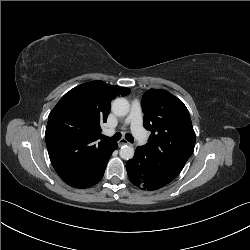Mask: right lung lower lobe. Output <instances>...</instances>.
I'll use <instances>...</instances> for the list:
<instances>
[{
  "label": "right lung lower lobe",
  "mask_w": 250,
  "mask_h": 250,
  "mask_svg": "<svg viewBox=\"0 0 250 250\" xmlns=\"http://www.w3.org/2000/svg\"><path fill=\"white\" fill-rule=\"evenodd\" d=\"M117 148H118V145H117V143H115L114 148L112 149V151H111V152L109 153V155L107 156V160H106V162H105V164H104V167L102 168V170H101V172H100L99 178H98V180H97L96 183H98V182L100 181V179L102 178V176H103V174H104V171H105V168H106V164L108 163V160H109V158L111 157V154H112L113 150H115V149H117ZM96 183H95V184H96Z\"/></svg>",
  "instance_id": "obj_1"
}]
</instances>
